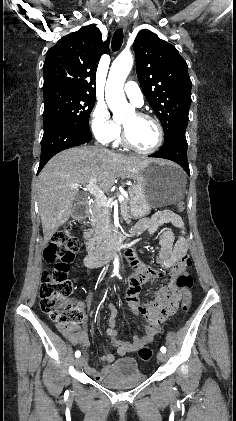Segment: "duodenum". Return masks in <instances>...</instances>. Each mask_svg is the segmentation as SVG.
<instances>
[{"mask_svg": "<svg viewBox=\"0 0 236 421\" xmlns=\"http://www.w3.org/2000/svg\"><path fill=\"white\" fill-rule=\"evenodd\" d=\"M87 207H88V202L86 200L78 202L73 209V217L77 221H83L87 215ZM123 244H124V237L121 233L114 232V233L109 234L106 237L105 242L100 247L94 249L93 251L89 252L83 257L84 265L88 268H96V267H100L104 265L111 259L114 250L119 246H123ZM132 252L133 251L131 247L126 246V255L131 261V265L137 267V263L134 262V259L132 257L133 256ZM168 259L169 257L167 256H160L158 260L162 262ZM170 260L172 262H175L173 255L170 256ZM136 272H137L138 280H148L150 278L157 276L156 271H152L148 268H143V267H138ZM177 296L178 295L176 292L170 293L166 289H160L155 300L152 303L153 307L151 310H146L145 308H140V307L136 308V310L142 311V313H145L147 311L148 316L150 318L149 319L150 324L147 327V335L142 340H144L146 337L150 335H153L156 332V325H155L156 317L160 318L162 315L171 314L173 312L174 302ZM109 335L114 337L116 335V331H114L113 329H109ZM72 341L77 342L78 339L74 337L72 338ZM113 343L115 346L119 347V350H118L119 354H124L126 351L132 350L133 345H134V344H124L118 340H113ZM102 359L106 362H111L113 361L114 357L111 354H107L103 356ZM86 369L93 377H95L96 379H100L103 376L104 372L106 371L107 367H105L101 371H96L95 369L88 366H86Z\"/></svg>", "mask_w": 236, "mask_h": 421, "instance_id": "obj_1", "label": "duodenum"}]
</instances>
